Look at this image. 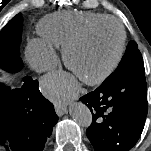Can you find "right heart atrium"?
Returning <instances> with one entry per match:
<instances>
[{
  "instance_id": "right-heart-atrium-1",
  "label": "right heart atrium",
  "mask_w": 151,
  "mask_h": 151,
  "mask_svg": "<svg viewBox=\"0 0 151 151\" xmlns=\"http://www.w3.org/2000/svg\"><path fill=\"white\" fill-rule=\"evenodd\" d=\"M26 57L32 68L38 72L52 69L57 61V54L54 47L42 39H32L29 41Z\"/></svg>"
}]
</instances>
